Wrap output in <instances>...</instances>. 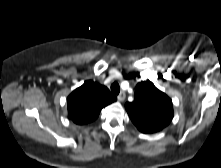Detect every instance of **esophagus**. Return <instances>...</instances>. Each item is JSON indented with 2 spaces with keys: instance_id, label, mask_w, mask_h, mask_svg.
<instances>
[{
  "instance_id": "1",
  "label": "esophagus",
  "mask_w": 221,
  "mask_h": 168,
  "mask_svg": "<svg viewBox=\"0 0 221 168\" xmlns=\"http://www.w3.org/2000/svg\"><path fill=\"white\" fill-rule=\"evenodd\" d=\"M125 97H126V94H125V92L122 91V92L118 95L117 98H118L119 101L122 102V101L125 100Z\"/></svg>"
}]
</instances>
